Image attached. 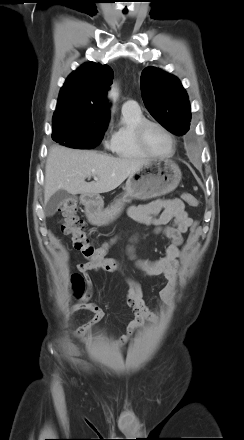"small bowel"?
Masks as SVG:
<instances>
[{
	"label": "small bowel",
	"instance_id": "1",
	"mask_svg": "<svg viewBox=\"0 0 244 440\" xmlns=\"http://www.w3.org/2000/svg\"><path fill=\"white\" fill-rule=\"evenodd\" d=\"M128 213L134 220L148 226H153L152 233L154 235L162 234L171 240V244L166 249L164 256L156 260H144L138 259L135 255L137 237H134L127 247V255L145 275L153 277L163 276L167 280V284L159 292V297L164 303L172 305L176 288L178 259L180 257L179 247L183 242V234L187 232L193 220L180 199H158L147 204L131 206ZM157 214H160L158 218L155 217ZM78 268L84 275L90 293L92 289L90 272L99 269L90 262L81 263ZM118 269L119 265L108 271L113 272ZM126 304L132 308L134 319L127 325L126 333L115 342L121 348L126 345L135 330L145 320H157V316L148 308L143 300L140 284L134 279L128 280ZM79 310H87L94 314L93 318L82 325L76 332L80 339L85 340L86 331L100 322L105 317V312L99 306L86 302V297L83 301L73 305L72 311Z\"/></svg>",
	"mask_w": 244,
	"mask_h": 440
}]
</instances>
